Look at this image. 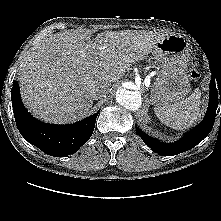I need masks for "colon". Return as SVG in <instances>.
<instances>
[{
    "label": "colon",
    "instance_id": "obj_1",
    "mask_svg": "<svg viewBox=\"0 0 221 221\" xmlns=\"http://www.w3.org/2000/svg\"><path fill=\"white\" fill-rule=\"evenodd\" d=\"M191 64H192L193 69L190 72V76L195 79L199 75L198 72L194 69V67L198 64V61L196 59H193L191 61Z\"/></svg>",
    "mask_w": 221,
    "mask_h": 221
}]
</instances>
